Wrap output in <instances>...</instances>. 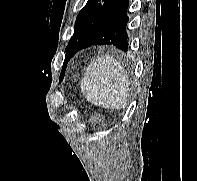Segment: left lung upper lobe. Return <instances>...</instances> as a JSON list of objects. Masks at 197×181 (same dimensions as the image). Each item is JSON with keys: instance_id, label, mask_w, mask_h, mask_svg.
Returning a JSON list of instances; mask_svg holds the SVG:
<instances>
[{"instance_id": "1", "label": "left lung upper lobe", "mask_w": 197, "mask_h": 181, "mask_svg": "<svg viewBox=\"0 0 197 181\" xmlns=\"http://www.w3.org/2000/svg\"><path fill=\"white\" fill-rule=\"evenodd\" d=\"M112 1L113 0H88L85 7L79 12L75 21L74 34L65 50L66 55L63 70L61 71V80L68 61L76 52L83 48Z\"/></svg>"}]
</instances>
